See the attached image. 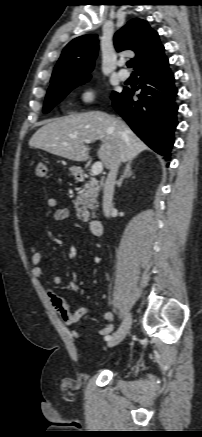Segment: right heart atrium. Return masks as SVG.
Instances as JSON below:
<instances>
[{
    "mask_svg": "<svg viewBox=\"0 0 202 437\" xmlns=\"http://www.w3.org/2000/svg\"><path fill=\"white\" fill-rule=\"evenodd\" d=\"M78 102L83 106H89L96 102L97 91L92 86H86L77 95Z\"/></svg>",
    "mask_w": 202,
    "mask_h": 437,
    "instance_id": "1",
    "label": "right heart atrium"
}]
</instances>
